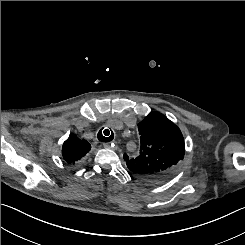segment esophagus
Masks as SVG:
<instances>
[{
	"label": "esophagus",
	"mask_w": 245,
	"mask_h": 245,
	"mask_svg": "<svg viewBox=\"0 0 245 245\" xmlns=\"http://www.w3.org/2000/svg\"><path fill=\"white\" fill-rule=\"evenodd\" d=\"M111 146H112V144H110V143H103V147L106 149L111 148Z\"/></svg>",
	"instance_id": "esophagus-1"
}]
</instances>
